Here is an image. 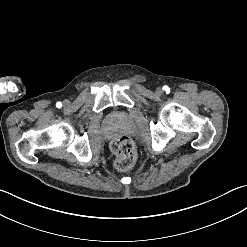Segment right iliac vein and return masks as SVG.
<instances>
[{
    "instance_id": "63e3f726",
    "label": "right iliac vein",
    "mask_w": 247,
    "mask_h": 247,
    "mask_svg": "<svg viewBox=\"0 0 247 247\" xmlns=\"http://www.w3.org/2000/svg\"><path fill=\"white\" fill-rule=\"evenodd\" d=\"M64 104L66 105V104H68V102L65 101Z\"/></svg>"
}]
</instances>
